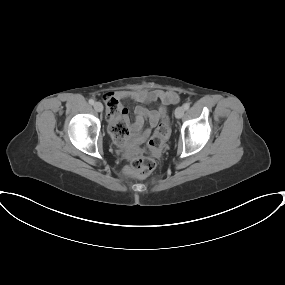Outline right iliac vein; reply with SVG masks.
Returning a JSON list of instances; mask_svg holds the SVG:
<instances>
[{
	"label": "right iliac vein",
	"instance_id": "1",
	"mask_svg": "<svg viewBox=\"0 0 285 285\" xmlns=\"http://www.w3.org/2000/svg\"><path fill=\"white\" fill-rule=\"evenodd\" d=\"M94 109L97 111V112H101L103 110V105L101 102H96L94 104Z\"/></svg>",
	"mask_w": 285,
	"mask_h": 285
}]
</instances>
